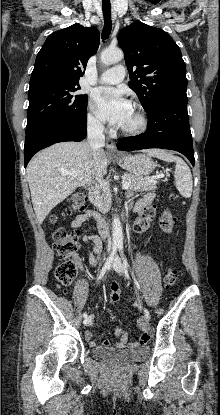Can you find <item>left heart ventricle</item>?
I'll use <instances>...</instances> for the list:
<instances>
[{
	"instance_id": "obj_1",
	"label": "left heart ventricle",
	"mask_w": 220,
	"mask_h": 415,
	"mask_svg": "<svg viewBox=\"0 0 220 415\" xmlns=\"http://www.w3.org/2000/svg\"><path fill=\"white\" fill-rule=\"evenodd\" d=\"M137 123V116L134 110H132L129 118L126 120V122L122 125L124 127H132L136 125Z\"/></svg>"
}]
</instances>
